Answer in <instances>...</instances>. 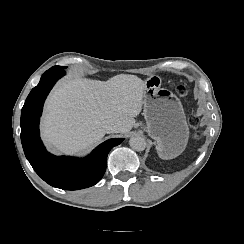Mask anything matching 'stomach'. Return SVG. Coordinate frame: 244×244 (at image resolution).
<instances>
[{"mask_svg":"<svg viewBox=\"0 0 244 244\" xmlns=\"http://www.w3.org/2000/svg\"><path fill=\"white\" fill-rule=\"evenodd\" d=\"M161 80L151 76L144 90V116L148 135L156 140L161 159H173L186 148L189 127L183 105L176 94L160 87Z\"/></svg>","mask_w":244,"mask_h":244,"instance_id":"1","label":"stomach"}]
</instances>
